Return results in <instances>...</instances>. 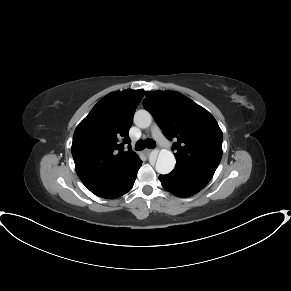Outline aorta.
<instances>
[{"instance_id":"762f6f07","label":"aorta","mask_w":291,"mask_h":291,"mask_svg":"<svg viewBox=\"0 0 291 291\" xmlns=\"http://www.w3.org/2000/svg\"><path fill=\"white\" fill-rule=\"evenodd\" d=\"M152 116L146 110H138L134 115V123L137 127L145 129L151 125ZM175 157L169 150L162 149L159 152L155 169L159 174L165 175L170 173L175 167Z\"/></svg>"}]
</instances>
